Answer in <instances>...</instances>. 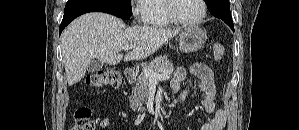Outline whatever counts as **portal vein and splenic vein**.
I'll return each mask as SVG.
<instances>
[{
  "mask_svg": "<svg viewBox=\"0 0 299 130\" xmlns=\"http://www.w3.org/2000/svg\"><path fill=\"white\" fill-rule=\"evenodd\" d=\"M132 46H123V50L128 51L129 49H131ZM146 77L149 79L150 82H158L160 80H168L170 79V75L169 74H158L156 72H153L151 70H146L145 72Z\"/></svg>",
  "mask_w": 299,
  "mask_h": 130,
  "instance_id": "1",
  "label": "portal vein and splenic vein"
}]
</instances>
